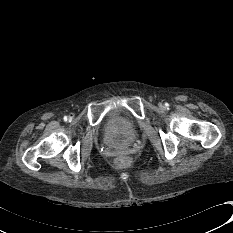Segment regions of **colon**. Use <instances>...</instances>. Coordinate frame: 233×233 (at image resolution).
I'll return each mask as SVG.
<instances>
[{"mask_svg":"<svg viewBox=\"0 0 233 233\" xmlns=\"http://www.w3.org/2000/svg\"><path fill=\"white\" fill-rule=\"evenodd\" d=\"M125 158L124 157H121V158H119L118 160H117V163L118 164H124L125 163Z\"/></svg>","mask_w":233,"mask_h":233,"instance_id":"obj_1","label":"colon"}]
</instances>
